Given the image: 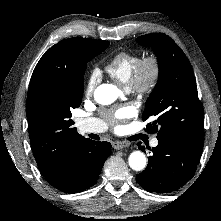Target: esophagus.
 I'll return each mask as SVG.
<instances>
[{"label": "esophagus", "mask_w": 221, "mask_h": 221, "mask_svg": "<svg viewBox=\"0 0 221 221\" xmlns=\"http://www.w3.org/2000/svg\"><path fill=\"white\" fill-rule=\"evenodd\" d=\"M112 146H113L114 149L119 150V149H123V148L129 147L130 143L115 141V142H113Z\"/></svg>", "instance_id": "obj_1"}]
</instances>
